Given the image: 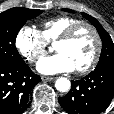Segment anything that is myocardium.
<instances>
[{
	"mask_svg": "<svg viewBox=\"0 0 114 114\" xmlns=\"http://www.w3.org/2000/svg\"><path fill=\"white\" fill-rule=\"evenodd\" d=\"M83 28L88 29L93 34V36L95 38V50H94L93 56L90 59V61L86 65L76 69V72L78 74L88 73L97 65V63L99 61L103 43H102V39H101V36H100L98 30L92 24H90L88 22L80 21V22L70 26L68 29H66L56 40V43L69 41L76 35V33L79 30H81Z\"/></svg>",
	"mask_w": 114,
	"mask_h": 114,
	"instance_id": "f54148a6",
	"label": "myocardium"
}]
</instances>
